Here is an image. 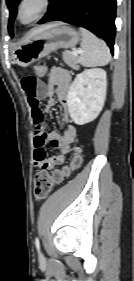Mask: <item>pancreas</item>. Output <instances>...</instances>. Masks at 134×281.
Masks as SVG:
<instances>
[{
    "instance_id": "cf45deb5",
    "label": "pancreas",
    "mask_w": 134,
    "mask_h": 281,
    "mask_svg": "<svg viewBox=\"0 0 134 281\" xmlns=\"http://www.w3.org/2000/svg\"><path fill=\"white\" fill-rule=\"evenodd\" d=\"M63 60L64 62L69 65L72 69L79 70V65H78V57L72 55L71 52L65 51L63 53Z\"/></svg>"
}]
</instances>
